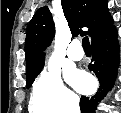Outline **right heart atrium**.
<instances>
[{"instance_id":"1","label":"right heart atrium","mask_w":121,"mask_h":113,"mask_svg":"<svg viewBox=\"0 0 121 113\" xmlns=\"http://www.w3.org/2000/svg\"><path fill=\"white\" fill-rule=\"evenodd\" d=\"M33 98L47 113H66L78 105L77 96L65 86L60 71L53 68L44 69L35 81Z\"/></svg>"}]
</instances>
